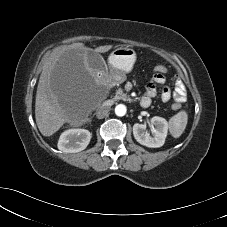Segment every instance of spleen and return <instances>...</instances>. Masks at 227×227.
<instances>
[{"instance_id": "obj_1", "label": "spleen", "mask_w": 227, "mask_h": 227, "mask_svg": "<svg viewBox=\"0 0 227 227\" xmlns=\"http://www.w3.org/2000/svg\"><path fill=\"white\" fill-rule=\"evenodd\" d=\"M187 113L180 111L169 121V130L173 137L178 138L184 132L187 125Z\"/></svg>"}]
</instances>
